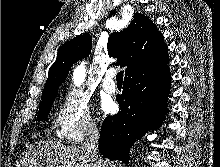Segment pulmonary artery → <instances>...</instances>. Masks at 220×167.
Listing matches in <instances>:
<instances>
[{
	"mask_svg": "<svg viewBox=\"0 0 220 167\" xmlns=\"http://www.w3.org/2000/svg\"><path fill=\"white\" fill-rule=\"evenodd\" d=\"M115 71L108 70L102 80V87L107 93H114L117 90L116 83L114 81Z\"/></svg>",
	"mask_w": 220,
	"mask_h": 167,
	"instance_id": "1",
	"label": "pulmonary artery"
}]
</instances>
